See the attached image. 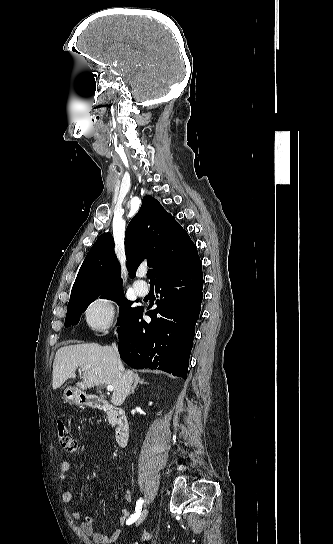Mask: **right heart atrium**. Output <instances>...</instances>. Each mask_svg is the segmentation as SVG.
Wrapping results in <instances>:
<instances>
[{"instance_id": "1", "label": "right heart atrium", "mask_w": 333, "mask_h": 544, "mask_svg": "<svg viewBox=\"0 0 333 544\" xmlns=\"http://www.w3.org/2000/svg\"><path fill=\"white\" fill-rule=\"evenodd\" d=\"M116 317V306L111 300L100 299L95 301L87 310L86 319L88 324L100 331L110 329Z\"/></svg>"}]
</instances>
